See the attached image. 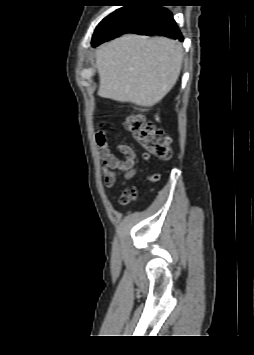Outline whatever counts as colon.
<instances>
[{
  "label": "colon",
  "mask_w": 254,
  "mask_h": 355,
  "mask_svg": "<svg viewBox=\"0 0 254 355\" xmlns=\"http://www.w3.org/2000/svg\"><path fill=\"white\" fill-rule=\"evenodd\" d=\"M126 129L131 133L133 140L145 151V156L168 161L172 158L170 138L154 123L146 121L138 115H127L124 119ZM131 191V196H134Z\"/></svg>",
  "instance_id": "obj_1"
}]
</instances>
